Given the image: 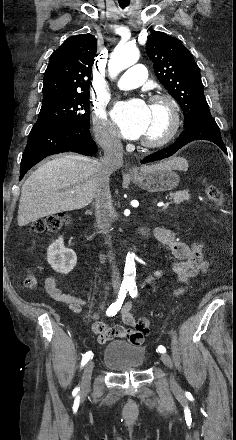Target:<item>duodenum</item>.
<instances>
[{
    "label": "duodenum",
    "instance_id": "1",
    "mask_svg": "<svg viewBox=\"0 0 236 440\" xmlns=\"http://www.w3.org/2000/svg\"><path fill=\"white\" fill-rule=\"evenodd\" d=\"M150 233H151V231L147 227H141V228L136 230V235L140 239H144V238L148 237L150 235ZM99 256H100L101 259H106L107 258V255L104 254L102 251H99Z\"/></svg>",
    "mask_w": 236,
    "mask_h": 440
}]
</instances>
